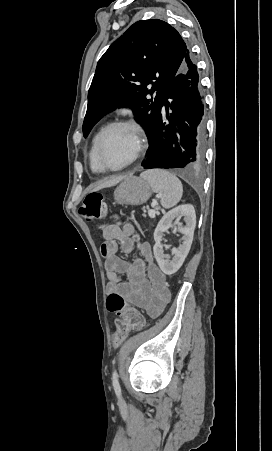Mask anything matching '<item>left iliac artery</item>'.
I'll list each match as a JSON object with an SVG mask.
<instances>
[{"instance_id":"left-iliac-artery-1","label":"left iliac artery","mask_w":272,"mask_h":451,"mask_svg":"<svg viewBox=\"0 0 272 451\" xmlns=\"http://www.w3.org/2000/svg\"><path fill=\"white\" fill-rule=\"evenodd\" d=\"M112 381H113V387H114L115 393L119 397L121 395V387L119 384L118 374H117L116 370H113Z\"/></svg>"}]
</instances>
